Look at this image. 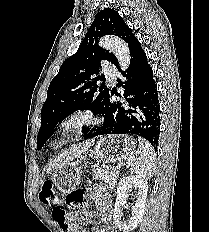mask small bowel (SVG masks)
I'll list each match as a JSON object with an SVG mask.
<instances>
[{
  "instance_id": "small-bowel-1",
  "label": "small bowel",
  "mask_w": 209,
  "mask_h": 232,
  "mask_svg": "<svg viewBox=\"0 0 209 232\" xmlns=\"http://www.w3.org/2000/svg\"><path fill=\"white\" fill-rule=\"evenodd\" d=\"M89 185H76V190H69L67 194L66 206L69 208H80L81 205H85L86 199H88ZM91 198L94 199L95 206L99 211L101 221H109L112 217V207L111 199L109 194L101 187H96L90 194ZM78 218L76 212H71L66 216L67 227L62 228L65 232H87L86 230H80L75 221ZM95 232H114L112 228L108 227L106 229L97 227Z\"/></svg>"
}]
</instances>
